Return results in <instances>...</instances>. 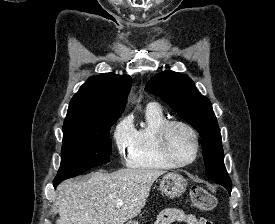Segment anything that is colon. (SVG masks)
Returning <instances> with one entry per match:
<instances>
[{
  "mask_svg": "<svg viewBox=\"0 0 275 224\" xmlns=\"http://www.w3.org/2000/svg\"><path fill=\"white\" fill-rule=\"evenodd\" d=\"M192 206L199 211H210L216 205L215 196L202 187H193L190 190Z\"/></svg>",
  "mask_w": 275,
  "mask_h": 224,
  "instance_id": "1",
  "label": "colon"
}]
</instances>
